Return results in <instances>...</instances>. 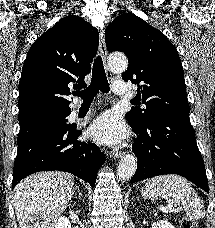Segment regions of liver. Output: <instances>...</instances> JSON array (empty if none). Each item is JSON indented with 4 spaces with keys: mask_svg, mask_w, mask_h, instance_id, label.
<instances>
[{
    "mask_svg": "<svg viewBox=\"0 0 215 228\" xmlns=\"http://www.w3.org/2000/svg\"><path fill=\"white\" fill-rule=\"evenodd\" d=\"M74 190L70 174L38 172L21 180L13 190L19 228H54Z\"/></svg>",
    "mask_w": 215,
    "mask_h": 228,
    "instance_id": "6515ba94",
    "label": "liver"
}]
</instances>
